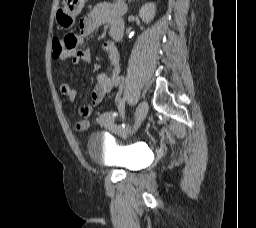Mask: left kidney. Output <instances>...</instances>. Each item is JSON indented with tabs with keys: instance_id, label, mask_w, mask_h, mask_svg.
<instances>
[{
	"instance_id": "1",
	"label": "left kidney",
	"mask_w": 256,
	"mask_h": 228,
	"mask_svg": "<svg viewBox=\"0 0 256 228\" xmlns=\"http://www.w3.org/2000/svg\"><path fill=\"white\" fill-rule=\"evenodd\" d=\"M156 12V6L154 3H146L139 10V17L144 23H149L153 20Z\"/></svg>"
}]
</instances>
